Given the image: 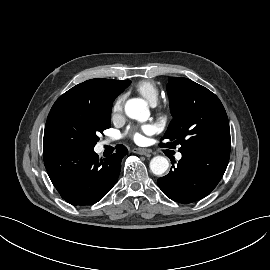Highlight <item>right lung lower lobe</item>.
Listing matches in <instances>:
<instances>
[{"label":"right lung lower lobe","instance_id":"1","mask_svg":"<svg viewBox=\"0 0 270 270\" xmlns=\"http://www.w3.org/2000/svg\"><path fill=\"white\" fill-rule=\"evenodd\" d=\"M128 153L123 145L116 153L99 159L94 150L44 153L48 175L61 197L72 205L100 201L116 183L121 160Z\"/></svg>","mask_w":270,"mask_h":270}]
</instances>
